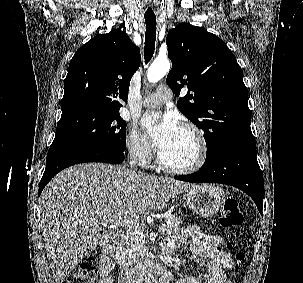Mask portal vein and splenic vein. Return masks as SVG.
<instances>
[{
	"mask_svg": "<svg viewBox=\"0 0 303 283\" xmlns=\"http://www.w3.org/2000/svg\"><path fill=\"white\" fill-rule=\"evenodd\" d=\"M102 223L105 225L106 223H110V224H112V226H127V227H129V228H132V226L131 225H133V223L132 222H130V221H128V220H122V219H120V218H118V217H116V216H110V217H108V218H104L103 220H102ZM133 226H137V224L136 225H133ZM138 227V226H137ZM159 232H161V233H164L165 231H166V227L165 226H161V227H159V230H158Z\"/></svg>",
	"mask_w": 303,
	"mask_h": 283,
	"instance_id": "obj_1",
	"label": "portal vein and splenic vein"
}]
</instances>
